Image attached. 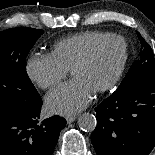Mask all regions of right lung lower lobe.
<instances>
[{"label":"right lung lower lobe","mask_w":155,"mask_h":155,"mask_svg":"<svg viewBox=\"0 0 155 155\" xmlns=\"http://www.w3.org/2000/svg\"><path fill=\"white\" fill-rule=\"evenodd\" d=\"M42 99L29 111H0V155H52L66 120L53 116L38 124Z\"/></svg>","instance_id":"obj_1"}]
</instances>
